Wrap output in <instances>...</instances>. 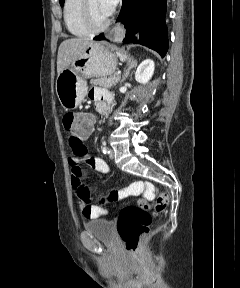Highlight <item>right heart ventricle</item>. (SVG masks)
I'll use <instances>...</instances> for the list:
<instances>
[{"label":"right heart ventricle","mask_w":240,"mask_h":288,"mask_svg":"<svg viewBox=\"0 0 240 288\" xmlns=\"http://www.w3.org/2000/svg\"><path fill=\"white\" fill-rule=\"evenodd\" d=\"M82 0H65L63 14L67 30L74 36H88L90 32L84 27L81 17Z\"/></svg>","instance_id":"1"}]
</instances>
